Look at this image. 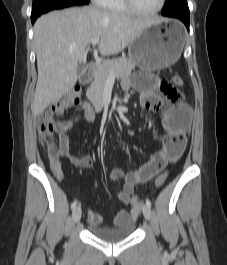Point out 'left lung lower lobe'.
Instances as JSON below:
<instances>
[{"mask_svg":"<svg viewBox=\"0 0 227 265\" xmlns=\"http://www.w3.org/2000/svg\"><path fill=\"white\" fill-rule=\"evenodd\" d=\"M169 17H174V18H178L180 19L187 27V29L189 30V16H169Z\"/></svg>","mask_w":227,"mask_h":265,"instance_id":"1","label":"left lung lower lobe"}]
</instances>
